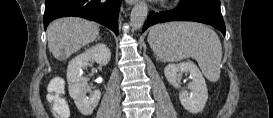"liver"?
I'll return each mask as SVG.
<instances>
[{
	"label": "liver",
	"mask_w": 273,
	"mask_h": 118,
	"mask_svg": "<svg viewBox=\"0 0 273 118\" xmlns=\"http://www.w3.org/2000/svg\"><path fill=\"white\" fill-rule=\"evenodd\" d=\"M99 35V26L81 18H61L47 28L49 51L57 60H64Z\"/></svg>",
	"instance_id": "liver-1"
}]
</instances>
